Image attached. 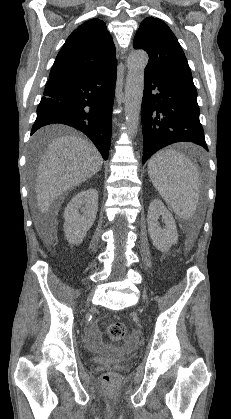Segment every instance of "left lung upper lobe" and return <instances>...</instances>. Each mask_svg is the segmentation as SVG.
Masks as SVG:
<instances>
[{
  "label": "left lung upper lobe",
  "mask_w": 231,
  "mask_h": 419,
  "mask_svg": "<svg viewBox=\"0 0 231 419\" xmlns=\"http://www.w3.org/2000/svg\"><path fill=\"white\" fill-rule=\"evenodd\" d=\"M133 47L143 49L149 55L145 72L193 82L182 48L162 20L145 18L135 35Z\"/></svg>",
  "instance_id": "1"
}]
</instances>
